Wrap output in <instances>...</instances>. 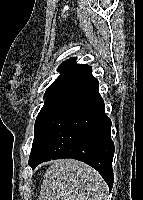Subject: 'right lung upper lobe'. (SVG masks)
<instances>
[{
    "label": "right lung upper lobe",
    "instance_id": "right-lung-upper-lobe-1",
    "mask_svg": "<svg viewBox=\"0 0 143 200\" xmlns=\"http://www.w3.org/2000/svg\"><path fill=\"white\" fill-rule=\"evenodd\" d=\"M75 60L76 58L68 59L59 66L58 71H60V75L57 79L63 81L83 68L88 67L86 64L75 63Z\"/></svg>",
    "mask_w": 143,
    "mask_h": 200
}]
</instances>
